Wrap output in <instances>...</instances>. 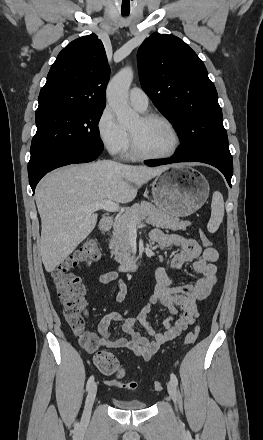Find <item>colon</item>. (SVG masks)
<instances>
[{
    "instance_id": "1",
    "label": "colon",
    "mask_w": 263,
    "mask_h": 440,
    "mask_svg": "<svg viewBox=\"0 0 263 440\" xmlns=\"http://www.w3.org/2000/svg\"><path fill=\"white\" fill-rule=\"evenodd\" d=\"M200 240L206 248L212 246L210 239L203 232L200 233ZM98 258L97 241L88 239L76 252L60 263L52 274L64 316L74 334L86 348L93 342L94 335L84 330L86 318L85 286L73 271L91 264ZM198 333V327L191 330L186 336V345H192L196 341ZM95 364L98 370L105 375H112L120 379L125 374L118 359L111 353L98 352L95 356ZM117 385L126 390H135L137 387L135 381L118 382ZM161 389L162 383L154 382L153 390L160 391Z\"/></svg>"
}]
</instances>
